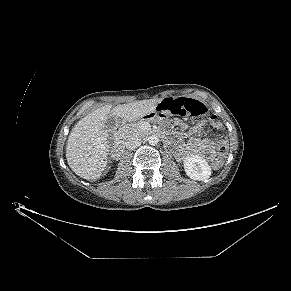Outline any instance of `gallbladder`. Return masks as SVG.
Returning <instances> with one entry per match:
<instances>
[{"mask_svg":"<svg viewBox=\"0 0 291 291\" xmlns=\"http://www.w3.org/2000/svg\"><path fill=\"white\" fill-rule=\"evenodd\" d=\"M119 120L115 115L109 114L104 122V129L108 133L109 137L112 138L118 128Z\"/></svg>","mask_w":291,"mask_h":291,"instance_id":"1","label":"gallbladder"}]
</instances>
